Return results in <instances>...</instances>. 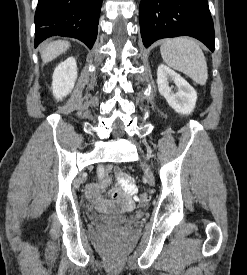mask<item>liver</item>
Segmentation results:
<instances>
[{
	"label": "liver",
	"instance_id": "1",
	"mask_svg": "<svg viewBox=\"0 0 247 275\" xmlns=\"http://www.w3.org/2000/svg\"><path fill=\"white\" fill-rule=\"evenodd\" d=\"M70 47V43L64 40H58L48 43L41 50V58L44 63L50 62Z\"/></svg>",
	"mask_w": 247,
	"mask_h": 275
}]
</instances>
